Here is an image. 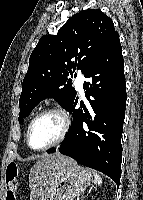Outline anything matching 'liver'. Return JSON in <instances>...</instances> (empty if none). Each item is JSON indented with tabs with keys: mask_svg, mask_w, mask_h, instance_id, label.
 Listing matches in <instances>:
<instances>
[{
	"mask_svg": "<svg viewBox=\"0 0 143 200\" xmlns=\"http://www.w3.org/2000/svg\"><path fill=\"white\" fill-rule=\"evenodd\" d=\"M74 161L60 153L46 154L30 170L29 187L32 200H43L54 173Z\"/></svg>",
	"mask_w": 143,
	"mask_h": 200,
	"instance_id": "liver-1",
	"label": "liver"
}]
</instances>
